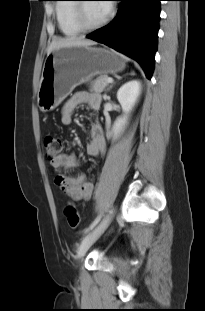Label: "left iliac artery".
Instances as JSON below:
<instances>
[{
	"label": "left iliac artery",
	"mask_w": 205,
	"mask_h": 311,
	"mask_svg": "<svg viewBox=\"0 0 205 311\" xmlns=\"http://www.w3.org/2000/svg\"><path fill=\"white\" fill-rule=\"evenodd\" d=\"M101 216H98L89 226V228L86 230L85 234H87L90 230H92L100 221Z\"/></svg>",
	"instance_id": "obj_1"
}]
</instances>
